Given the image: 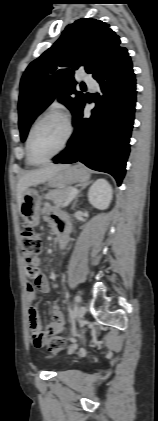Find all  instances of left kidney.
<instances>
[{
	"label": "left kidney",
	"mask_w": 158,
	"mask_h": 421,
	"mask_svg": "<svg viewBox=\"0 0 158 421\" xmlns=\"http://www.w3.org/2000/svg\"><path fill=\"white\" fill-rule=\"evenodd\" d=\"M112 196V187L105 179L96 180L88 191L90 204L101 210L109 207Z\"/></svg>",
	"instance_id": "1"
}]
</instances>
